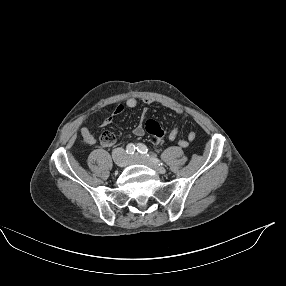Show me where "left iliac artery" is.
<instances>
[{
	"mask_svg": "<svg viewBox=\"0 0 286 286\" xmlns=\"http://www.w3.org/2000/svg\"><path fill=\"white\" fill-rule=\"evenodd\" d=\"M136 149L141 154H145L146 156H148L154 163H157L159 165H163V163L158 158H156L154 156H150L149 150H148L147 146H145L144 144L139 143L137 145Z\"/></svg>",
	"mask_w": 286,
	"mask_h": 286,
	"instance_id": "1",
	"label": "left iliac artery"
}]
</instances>
